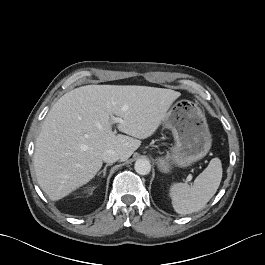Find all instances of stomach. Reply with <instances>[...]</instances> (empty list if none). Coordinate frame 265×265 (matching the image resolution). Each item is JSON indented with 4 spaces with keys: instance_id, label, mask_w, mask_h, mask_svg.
I'll list each match as a JSON object with an SVG mask.
<instances>
[{
    "instance_id": "stomach-1",
    "label": "stomach",
    "mask_w": 265,
    "mask_h": 265,
    "mask_svg": "<svg viewBox=\"0 0 265 265\" xmlns=\"http://www.w3.org/2000/svg\"><path fill=\"white\" fill-rule=\"evenodd\" d=\"M172 131L175 144L165 157L158 159L159 169L167 173L172 166L188 167L207 155L211 148V134L204 112L192 101L174 103L162 121Z\"/></svg>"
}]
</instances>
